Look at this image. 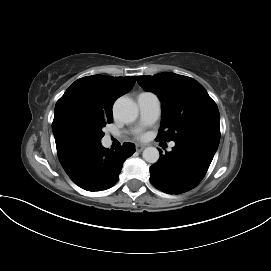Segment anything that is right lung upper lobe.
I'll return each instance as SVG.
<instances>
[{
	"label": "right lung upper lobe",
	"mask_w": 271,
	"mask_h": 271,
	"mask_svg": "<svg viewBox=\"0 0 271 271\" xmlns=\"http://www.w3.org/2000/svg\"><path fill=\"white\" fill-rule=\"evenodd\" d=\"M136 77L86 76L75 81L57 101L52 130L58 158L62 166L98 147L81 144L70 138L64 130L68 115L83 111L112 115V105L121 95L129 92Z\"/></svg>",
	"instance_id": "cb5924a9"
}]
</instances>
